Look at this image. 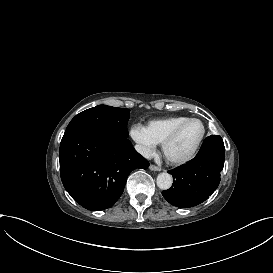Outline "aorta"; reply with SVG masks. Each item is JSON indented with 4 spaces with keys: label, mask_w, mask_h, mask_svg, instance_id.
I'll return each instance as SVG.
<instances>
[{
    "label": "aorta",
    "mask_w": 273,
    "mask_h": 273,
    "mask_svg": "<svg viewBox=\"0 0 273 273\" xmlns=\"http://www.w3.org/2000/svg\"><path fill=\"white\" fill-rule=\"evenodd\" d=\"M156 183L161 190H167L172 186V176L167 172H162L158 174Z\"/></svg>",
    "instance_id": "aorta-1"
}]
</instances>
